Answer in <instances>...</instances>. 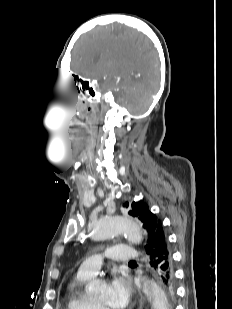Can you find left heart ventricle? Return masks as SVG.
<instances>
[{
	"label": "left heart ventricle",
	"mask_w": 232,
	"mask_h": 309,
	"mask_svg": "<svg viewBox=\"0 0 232 309\" xmlns=\"http://www.w3.org/2000/svg\"><path fill=\"white\" fill-rule=\"evenodd\" d=\"M96 300L100 302L101 304L108 306L110 309L113 308L111 304V291H110L109 285H105L102 288V290L96 296Z\"/></svg>",
	"instance_id": "obj_1"
}]
</instances>
